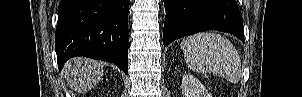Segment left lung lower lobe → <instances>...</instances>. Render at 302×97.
Here are the masks:
<instances>
[{
	"instance_id": "obj_1",
	"label": "left lung lower lobe",
	"mask_w": 302,
	"mask_h": 97,
	"mask_svg": "<svg viewBox=\"0 0 302 97\" xmlns=\"http://www.w3.org/2000/svg\"><path fill=\"white\" fill-rule=\"evenodd\" d=\"M163 44L205 30L231 33L244 42L242 16L236 0H163Z\"/></svg>"
}]
</instances>
